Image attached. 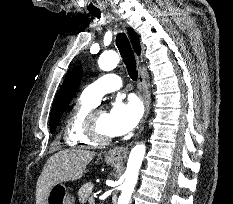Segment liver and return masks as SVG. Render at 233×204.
<instances>
[{
    "label": "liver",
    "instance_id": "liver-1",
    "mask_svg": "<svg viewBox=\"0 0 233 204\" xmlns=\"http://www.w3.org/2000/svg\"><path fill=\"white\" fill-rule=\"evenodd\" d=\"M95 152L66 149L52 155L45 163L36 186V204H46L51 187L82 178Z\"/></svg>",
    "mask_w": 233,
    "mask_h": 204
}]
</instances>
